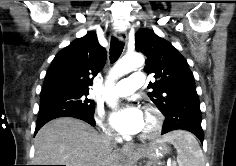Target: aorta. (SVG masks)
Instances as JSON below:
<instances>
[{
  "label": "aorta",
  "mask_w": 236,
  "mask_h": 166,
  "mask_svg": "<svg viewBox=\"0 0 236 166\" xmlns=\"http://www.w3.org/2000/svg\"><path fill=\"white\" fill-rule=\"evenodd\" d=\"M143 64L144 58L138 53L126 55L115 64L109 74L104 93L105 101L109 106L115 107L117 104V97L114 93V80L142 67Z\"/></svg>",
  "instance_id": "obj_1"
}]
</instances>
